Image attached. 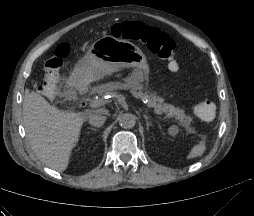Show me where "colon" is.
<instances>
[{
	"label": "colon",
	"mask_w": 254,
	"mask_h": 216,
	"mask_svg": "<svg viewBox=\"0 0 254 216\" xmlns=\"http://www.w3.org/2000/svg\"><path fill=\"white\" fill-rule=\"evenodd\" d=\"M115 37H124L145 45L153 54L170 60V68L176 69L174 60L175 42L162 30L146 26L139 22L117 23L112 27ZM70 46L61 43L46 61L45 75L40 91L45 94H54L59 80V71L64 59L69 55ZM195 115L202 121H211L215 117L216 107L211 101H202L194 108Z\"/></svg>",
	"instance_id": "obj_1"
}]
</instances>
